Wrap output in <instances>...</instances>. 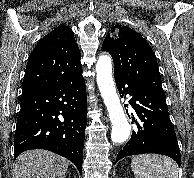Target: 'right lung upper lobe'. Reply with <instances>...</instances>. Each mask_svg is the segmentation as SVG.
<instances>
[{"instance_id":"cb5924a9","label":"right lung upper lobe","mask_w":194,"mask_h":178,"mask_svg":"<svg viewBox=\"0 0 194 178\" xmlns=\"http://www.w3.org/2000/svg\"><path fill=\"white\" fill-rule=\"evenodd\" d=\"M82 78L80 51L73 31L60 25L31 52L22 83V96L71 84Z\"/></svg>"}]
</instances>
